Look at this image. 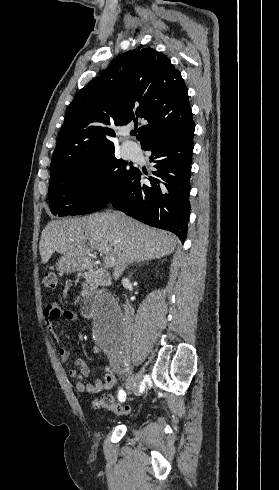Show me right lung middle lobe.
Wrapping results in <instances>:
<instances>
[{"label":"right lung middle lobe","instance_id":"obj_1","mask_svg":"<svg viewBox=\"0 0 279 490\" xmlns=\"http://www.w3.org/2000/svg\"><path fill=\"white\" fill-rule=\"evenodd\" d=\"M114 149L50 179V210L54 215H82L105 207L117 190L135 172Z\"/></svg>","mask_w":279,"mask_h":490}]
</instances>
